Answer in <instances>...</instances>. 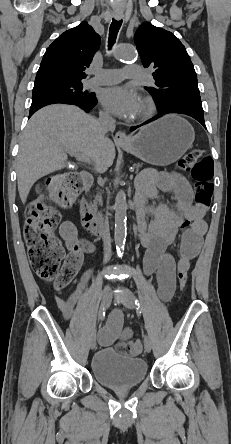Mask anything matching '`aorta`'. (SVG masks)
<instances>
[{
	"instance_id": "aorta-1",
	"label": "aorta",
	"mask_w": 231,
	"mask_h": 444,
	"mask_svg": "<svg viewBox=\"0 0 231 444\" xmlns=\"http://www.w3.org/2000/svg\"><path fill=\"white\" fill-rule=\"evenodd\" d=\"M136 56L135 50L133 47L120 44L117 46L115 50V57L118 60H132ZM115 231H114V240L117 249H121L126 240V220H127V202H126V194L123 190H120L115 198Z\"/></svg>"
}]
</instances>
